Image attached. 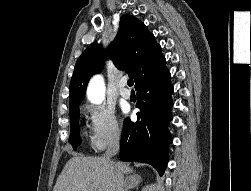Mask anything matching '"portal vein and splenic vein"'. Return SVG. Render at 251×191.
Wrapping results in <instances>:
<instances>
[{"instance_id": "18ae733b", "label": "portal vein and splenic vein", "mask_w": 251, "mask_h": 191, "mask_svg": "<svg viewBox=\"0 0 251 191\" xmlns=\"http://www.w3.org/2000/svg\"><path fill=\"white\" fill-rule=\"evenodd\" d=\"M96 189H98L97 185H95ZM98 191H102V189H98Z\"/></svg>"}]
</instances>
